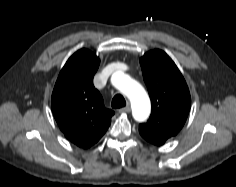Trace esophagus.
Returning <instances> with one entry per match:
<instances>
[{"label": "esophagus", "mask_w": 236, "mask_h": 187, "mask_svg": "<svg viewBox=\"0 0 236 187\" xmlns=\"http://www.w3.org/2000/svg\"><path fill=\"white\" fill-rule=\"evenodd\" d=\"M130 111H131L130 106H126V107H124V108H121V109L119 110V113H129Z\"/></svg>", "instance_id": "1"}]
</instances>
